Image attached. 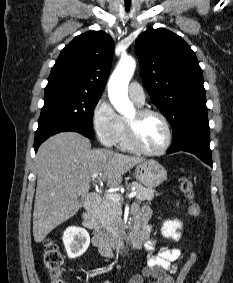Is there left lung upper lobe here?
<instances>
[{
    "label": "left lung upper lobe",
    "mask_w": 233,
    "mask_h": 283,
    "mask_svg": "<svg viewBox=\"0 0 233 283\" xmlns=\"http://www.w3.org/2000/svg\"><path fill=\"white\" fill-rule=\"evenodd\" d=\"M135 49L144 85L156 107L167 117L173 138L194 127H209L202 69L190 46L177 34L149 29Z\"/></svg>",
    "instance_id": "5c2ea615"
}]
</instances>
